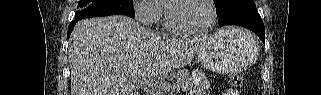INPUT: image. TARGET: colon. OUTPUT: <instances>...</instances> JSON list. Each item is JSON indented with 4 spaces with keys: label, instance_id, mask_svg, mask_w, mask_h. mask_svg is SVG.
Masks as SVG:
<instances>
[{
    "label": "colon",
    "instance_id": "obj_1",
    "mask_svg": "<svg viewBox=\"0 0 321 95\" xmlns=\"http://www.w3.org/2000/svg\"><path fill=\"white\" fill-rule=\"evenodd\" d=\"M244 83V77L242 74H234L230 79V84L234 87H241Z\"/></svg>",
    "mask_w": 321,
    "mask_h": 95
}]
</instances>
